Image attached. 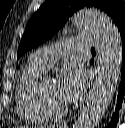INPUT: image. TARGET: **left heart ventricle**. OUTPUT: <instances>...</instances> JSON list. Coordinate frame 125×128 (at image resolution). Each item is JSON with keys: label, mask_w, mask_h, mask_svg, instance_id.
<instances>
[{"label": "left heart ventricle", "mask_w": 125, "mask_h": 128, "mask_svg": "<svg viewBox=\"0 0 125 128\" xmlns=\"http://www.w3.org/2000/svg\"><path fill=\"white\" fill-rule=\"evenodd\" d=\"M44 91L47 98L56 105H67L68 103L62 97L58 84L57 79L55 77H49L44 83Z\"/></svg>", "instance_id": "left-heart-ventricle-1"}]
</instances>
